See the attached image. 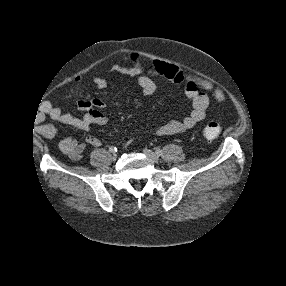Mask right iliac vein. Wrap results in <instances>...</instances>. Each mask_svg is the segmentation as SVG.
Wrapping results in <instances>:
<instances>
[{
  "instance_id": "right-iliac-vein-1",
  "label": "right iliac vein",
  "mask_w": 286,
  "mask_h": 286,
  "mask_svg": "<svg viewBox=\"0 0 286 286\" xmlns=\"http://www.w3.org/2000/svg\"><path fill=\"white\" fill-rule=\"evenodd\" d=\"M112 158H113V160H116L117 159V154L114 153Z\"/></svg>"
}]
</instances>
